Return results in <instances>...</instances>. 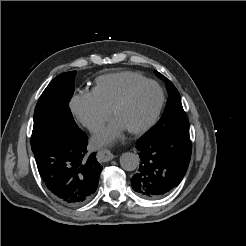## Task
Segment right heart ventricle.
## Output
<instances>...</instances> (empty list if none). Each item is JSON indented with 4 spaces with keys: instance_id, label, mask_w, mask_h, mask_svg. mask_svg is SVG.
<instances>
[{
    "instance_id": "obj_1",
    "label": "right heart ventricle",
    "mask_w": 246,
    "mask_h": 246,
    "mask_svg": "<svg viewBox=\"0 0 246 246\" xmlns=\"http://www.w3.org/2000/svg\"><path fill=\"white\" fill-rule=\"evenodd\" d=\"M144 80L146 78L143 75L132 71L108 73L96 78L91 92L103 108L111 111L131 86Z\"/></svg>"
}]
</instances>
